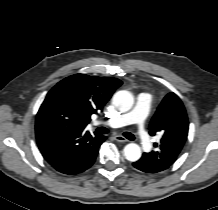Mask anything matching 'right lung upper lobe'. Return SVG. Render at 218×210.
<instances>
[{
  "label": "right lung upper lobe",
  "mask_w": 218,
  "mask_h": 210,
  "mask_svg": "<svg viewBox=\"0 0 218 210\" xmlns=\"http://www.w3.org/2000/svg\"><path fill=\"white\" fill-rule=\"evenodd\" d=\"M121 84L116 78L75 74L60 81L50 93L62 96L74 107L84 129L91 115L103 108Z\"/></svg>",
  "instance_id": "obj_1"
}]
</instances>
